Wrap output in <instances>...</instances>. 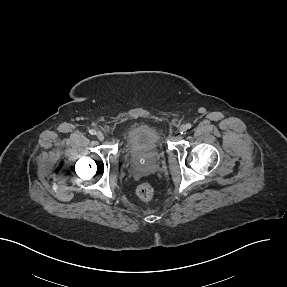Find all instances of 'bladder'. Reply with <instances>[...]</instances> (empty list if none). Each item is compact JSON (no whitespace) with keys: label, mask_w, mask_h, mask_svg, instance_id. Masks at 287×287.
I'll return each instance as SVG.
<instances>
[{"label":"bladder","mask_w":287,"mask_h":287,"mask_svg":"<svg viewBox=\"0 0 287 287\" xmlns=\"http://www.w3.org/2000/svg\"><path fill=\"white\" fill-rule=\"evenodd\" d=\"M162 143V136L154 127L136 125L125 134L122 152L129 158H153L160 152Z\"/></svg>","instance_id":"obj_1"}]
</instances>
